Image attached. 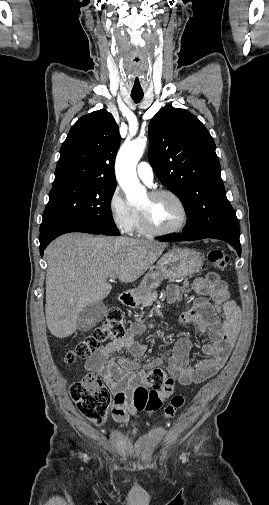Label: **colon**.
<instances>
[{
	"label": "colon",
	"mask_w": 269,
	"mask_h": 505,
	"mask_svg": "<svg viewBox=\"0 0 269 505\" xmlns=\"http://www.w3.org/2000/svg\"><path fill=\"white\" fill-rule=\"evenodd\" d=\"M208 261L213 269L222 271L227 267L228 257L222 250L213 249L208 254ZM124 332L122 311L117 307H111L105 321L90 336L68 351L65 361L71 364L78 358L93 355L104 342L120 338ZM174 386L173 377L168 376L160 368H154L146 373L142 383L134 390L133 404L139 411H157L162 406L163 400L174 393ZM70 395L85 418L99 426L105 422L110 396L98 376L88 375L72 384ZM184 403L183 395L173 396L165 407V417H173Z\"/></svg>",
	"instance_id": "1"
}]
</instances>
